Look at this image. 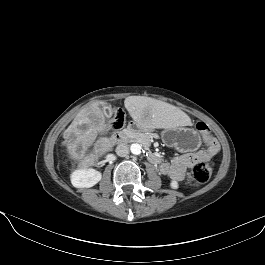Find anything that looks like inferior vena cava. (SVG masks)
Returning <instances> with one entry per match:
<instances>
[{
  "label": "inferior vena cava",
  "mask_w": 265,
  "mask_h": 265,
  "mask_svg": "<svg viewBox=\"0 0 265 265\" xmlns=\"http://www.w3.org/2000/svg\"><path fill=\"white\" fill-rule=\"evenodd\" d=\"M116 154L120 157H125L129 154V146L126 143H121L116 147Z\"/></svg>",
  "instance_id": "obj_1"
}]
</instances>
